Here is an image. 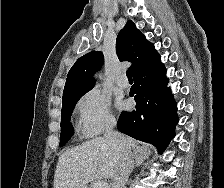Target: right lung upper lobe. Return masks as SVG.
Segmentation results:
<instances>
[{
    "instance_id": "cb5924a9",
    "label": "right lung upper lobe",
    "mask_w": 224,
    "mask_h": 188,
    "mask_svg": "<svg viewBox=\"0 0 224 188\" xmlns=\"http://www.w3.org/2000/svg\"><path fill=\"white\" fill-rule=\"evenodd\" d=\"M120 61L132 63L133 75L152 65L160 56L145 36L129 20L116 39ZM102 52L91 51L80 57L68 72L63 97L69 94L91 90L94 87L92 75L100 69Z\"/></svg>"
}]
</instances>
